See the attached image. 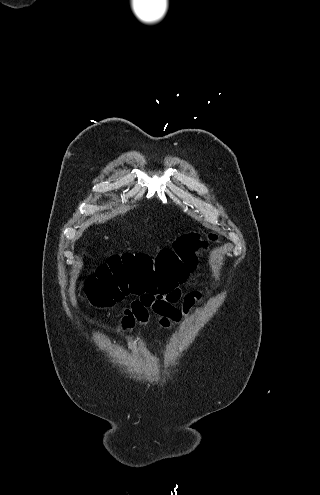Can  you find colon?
I'll list each match as a JSON object with an SVG mask.
<instances>
[{
    "label": "colon",
    "mask_w": 320,
    "mask_h": 495,
    "mask_svg": "<svg viewBox=\"0 0 320 495\" xmlns=\"http://www.w3.org/2000/svg\"><path fill=\"white\" fill-rule=\"evenodd\" d=\"M213 239L215 234H211ZM208 243L199 233L180 235L171 248L163 249L153 258L142 253L114 255L89 276L84 287L88 301L98 307H110L129 292L164 293L194 269L199 255Z\"/></svg>",
    "instance_id": "colon-1"
}]
</instances>
